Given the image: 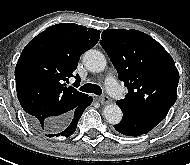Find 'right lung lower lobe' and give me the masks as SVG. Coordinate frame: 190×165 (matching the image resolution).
<instances>
[{"mask_svg":"<svg viewBox=\"0 0 190 165\" xmlns=\"http://www.w3.org/2000/svg\"><path fill=\"white\" fill-rule=\"evenodd\" d=\"M92 97H88L85 101H83L70 115L69 119L63 124V126L59 128H55L52 130L45 131L43 133L46 134L48 137H58V136H64L69 137L71 136L76 128L77 123L82 116L83 111L92 103ZM29 123L38 130L37 122L35 119L31 117H27ZM42 132V131H41Z\"/></svg>","mask_w":190,"mask_h":165,"instance_id":"98d812e1","label":"right lung lower lobe"}]
</instances>
